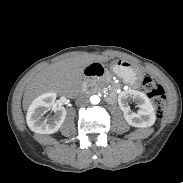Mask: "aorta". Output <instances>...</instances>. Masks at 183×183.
Here are the masks:
<instances>
[{"mask_svg":"<svg viewBox=\"0 0 183 183\" xmlns=\"http://www.w3.org/2000/svg\"><path fill=\"white\" fill-rule=\"evenodd\" d=\"M90 102L92 104H98L100 102V98L97 95H93L90 97Z\"/></svg>","mask_w":183,"mask_h":183,"instance_id":"obj_1","label":"aorta"}]
</instances>
